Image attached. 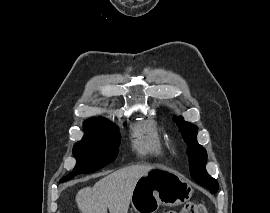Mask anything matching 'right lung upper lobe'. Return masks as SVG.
Returning <instances> with one entry per match:
<instances>
[{
	"mask_svg": "<svg viewBox=\"0 0 270 213\" xmlns=\"http://www.w3.org/2000/svg\"><path fill=\"white\" fill-rule=\"evenodd\" d=\"M105 122H109V121L103 118H93L89 121H85L84 123H105Z\"/></svg>",
	"mask_w": 270,
	"mask_h": 213,
	"instance_id": "cb5924a9",
	"label": "right lung upper lobe"
}]
</instances>
